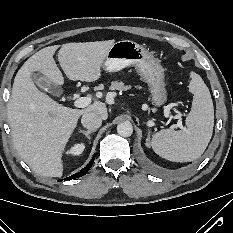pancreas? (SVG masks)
<instances>
[{
  "instance_id": "cf45deb5",
  "label": "pancreas",
  "mask_w": 233,
  "mask_h": 233,
  "mask_svg": "<svg viewBox=\"0 0 233 233\" xmlns=\"http://www.w3.org/2000/svg\"><path fill=\"white\" fill-rule=\"evenodd\" d=\"M110 88H111L112 90H119V91H123V90L129 89V87H128V86H125L123 82H118V81H113V82L111 83Z\"/></svg>"
}]
</instances>
